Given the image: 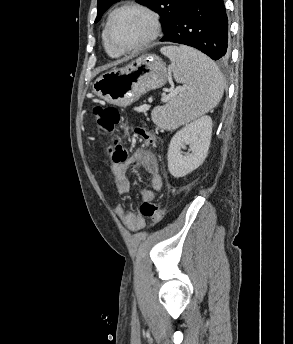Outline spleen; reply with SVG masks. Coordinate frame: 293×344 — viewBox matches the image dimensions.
I'll use <instances>...</instances> for the list:
<instances>
[{
	"mask_svg": "<svg viewBox=\"0 0 293 344\" xmlns=\"http://www.w3.org/2000/svg\"><path fill=\"white\" fill-rule=\"evenodd\" d=\"M160 51L171 60L174 79L185 87L166 105L154 108L151 116L161 129L174 130L218 105L224 78L209 57L191 47L166 46Z\"/></svg>",
	"mask_w": 293,
	"mask_h": 344,
	"instance_id": "spleen-1",
	"label": "spleen"
}]
</instances>
